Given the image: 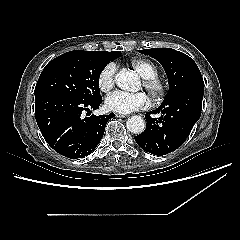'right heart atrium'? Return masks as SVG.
Returning <instances> with one entry per match:
<instances>
[{"label": "right heart atrium", "instance_id": "1", "mask_svg": "<svg viewBox=\"0 0 240 240\" xmlns=\"http://www.w3.org/2000/svg\"><path fill=\"white\" fill-rule=\"evenodd\" d=\"M117 66L114 62L105 64L98 74V87L102 92L110 91L115 84Z\"/></svg>", "mask_w": 240, "mask_h": 240}]
</instances>
